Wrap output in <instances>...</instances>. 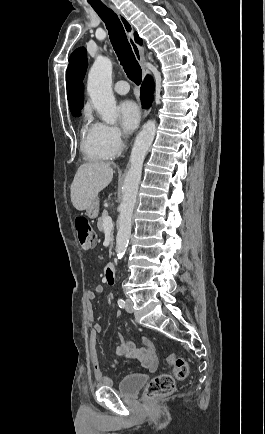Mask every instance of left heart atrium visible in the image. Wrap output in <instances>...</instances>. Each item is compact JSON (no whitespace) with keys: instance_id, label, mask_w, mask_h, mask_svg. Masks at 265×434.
Wrapping results in <instances>:
<instances>
[{"instance_id":"1","label":"left heart atrium","mask_w":265,"mask_h":434,"mask_svg":"<svg viewBox=\"0 0 265 434\" xmlns=\"http://www.w3.org/2000/svg\"><path fill=\"white\" fill-rule=\"evenodd\" d=\"M120 124L126 132L133 131L140 120V109L133 101H124L118 107Z\"/></svg>"}]
</instances>
